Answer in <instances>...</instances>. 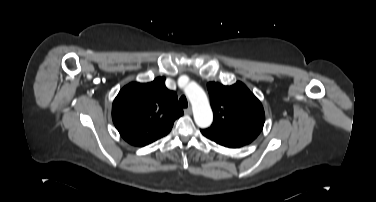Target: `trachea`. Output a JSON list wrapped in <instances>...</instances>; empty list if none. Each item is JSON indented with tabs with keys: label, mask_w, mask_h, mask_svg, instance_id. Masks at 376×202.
I'll return each instance as SVG.
<instances>
[{
	"label": "trachea",
	"mask_w": 376,
	"mask_h": 202,
	"mask_svg": "<svg viewBox=\"0 0 376 202\" xmlns=\"http://www.w3.org/2000/svg\"><path fill=\"white\" fill-rule=\"evenodd\" d=\"M179 105L182 108H187L188 107V101L185 96H181L179 99Z\"/></svg>",
	"instance_id": "obj_1"
}]
</instances>
